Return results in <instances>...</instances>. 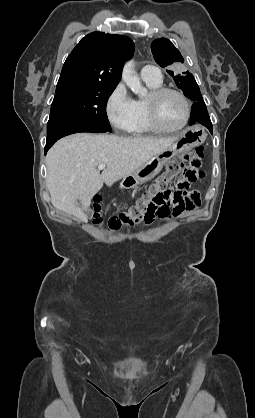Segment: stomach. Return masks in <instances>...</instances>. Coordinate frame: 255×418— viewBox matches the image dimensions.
<instances>
[{
    "label": "stomach",
    "instance_id": "0dacf381",
    "mask_svg": "<svg viewBox=\"0 0 255 418\" xmlns=\"http://www.w3.org/2000/svg\"><path fill=\"white\" fill-rule=\"evenodd\" d=\"M206 139L205 131L199 126L185 129L177 141L165 151L153 156L131 175L123 178L122 185L132 188L153 179L163 166L177 154L202 144Z\"/></svg>",
    "mask_w": 255,
    "mask_h": 418
}]
</instances>
